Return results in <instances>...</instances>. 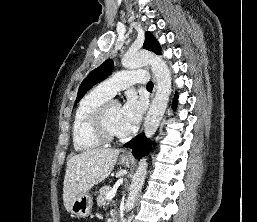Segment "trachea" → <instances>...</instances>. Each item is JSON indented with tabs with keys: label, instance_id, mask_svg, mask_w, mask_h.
<instances>
[{
	"label": "trachea",
	"instance_id": "trachea-1",
	"mask_svg": "<svg viewBox=\"0 0 257 222\" xmlns=\"http://www.w3.org/2000/svg\"><path fill=\"white\" fill-rule=\"evenodd\" d=\"M153 86H154V85H153V82L150 81V82L147 83V86H146V87H147V88H150V89H153Z\"/></svg>",
	"mask_w": 257,
	"mask_h": 222
}]
</instances>
